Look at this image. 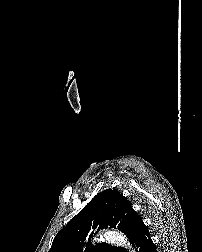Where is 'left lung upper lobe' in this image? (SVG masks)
<instances>
[{"mask_svg": "<svg viewBox=\"0 0 202 252\" xmlns=\"http://www.w3.org/2000/svg\"><path fill=\"white\" fill-rule=\"evenodd\" d=\"M142 220L126 197L115 189H106L74 216L55 236L49 252H127L107 243L94 246L90 240L94 232L115 228L134 243L136 225Z\"/></svg>", "mask_w": 202, "mask_h": 252, "instance_id": "left-lung-upper-lobe-1", "label": "left lung upper lobe"}]
</instances>
